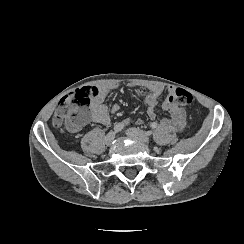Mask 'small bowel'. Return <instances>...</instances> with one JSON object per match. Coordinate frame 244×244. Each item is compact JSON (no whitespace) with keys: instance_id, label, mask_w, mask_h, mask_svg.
<instances>
[{"instance_id":"1","label":"small bowel","mask_w":244,"mask_h":244,"mask_svg":"<svg viewBox=\"0 0 244 244\" xmlns=\"http://www.w3.org/2000/svg\"><path fill=\"white\" fill-rule=\"evenodd\" d=\"M116 86V83L113 82L103 83L97 86L99 88V94L89 105L92 111V118L90 122L101 125L110 124L111 116L109 110L104 105V101L108 94L113 91ZM162 93L163 88L156 86L149 89V91L144 94V98L147 103V115L150 119H155L156 117V107ZM168 93V97L162 102L161 106L163 110L170 113L171 117L163 120L162 127L165 130L181 132L187 126L186 111L173 102L172 88L168 90Z\"/></svg>"}]
</instances>
